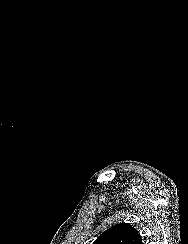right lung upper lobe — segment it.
<instances>
[{
  "mask_svg": "<svg viewBox=\"0 0 188 244\" xmlns=\"http://www.w3.org/2000/svg\"><path fill=\"white\" fill-rule=\"evenodd\" d=\"M93 244H144L136 229L129 224H116L103 232Z\"/></svg>",
  "mask_w": 188,
  "mask_h": 244,
  "instance_id": "cb5924a9",
  "label": "right lung upper lobe"
}]
</instances>
